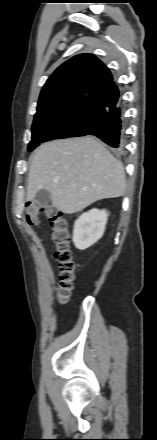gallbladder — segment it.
I'll list each match as a JSON object with an SVG mask.
<instances>
[{
  "label": "gallbladder",
  "mask_w": 157,
  "mask_h": 440,
  "mask_svg": "<svg viewBox=\"0 0 157 440\" xmlns=\"http://www.w3.org/2000/svg\"><path fill=\"white\" fill-rule=\"evenodd\" d=\"M35 200L40 207L46 208L48 207L49 202L51 200V195L47 190L41 189L40 191L37 192L35 196Z\"/></svg>",
  "instance_id": "1"
}]
</instances>
